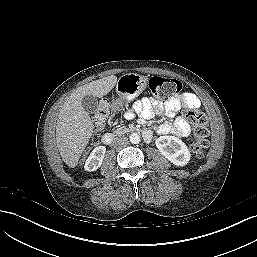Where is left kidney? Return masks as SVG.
<instances>
[{
	"label": "left kidney",
	"instance_id": "5707ae66",
	"mask_svg": "<svg viewBox=\"0 0 257 257\" xmlns=\"http://www.w3.org/2000/svg\"><path fill=\"white\" fill-rule=\"evenodd\" d=\"M155 144L159 152L176 166H185L190 160L186 144L175 136H160Z\"/></svg>",
	"mask_w": 257,
	"mask_h": 257
}]
</instances>
